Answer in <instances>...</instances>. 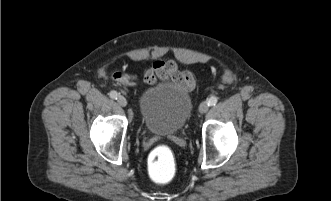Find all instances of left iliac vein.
Masks as SVG:
<instances>
[{"mask_svg": "<svg viewBox=\"0 0 331 201\" xmlns=\"http://www.w3.org/2000/svg\"><path fill=\"white\" fill-rule=\"evenodd\" d=\"M209 109V105L207 102H202L199 106V112L200 113H206Z\"/></svg>", "mask_w": 331, "mask_h": 201, "instance_id": "4c4485c4", "label": "left iliac vein"}]
</instances>
